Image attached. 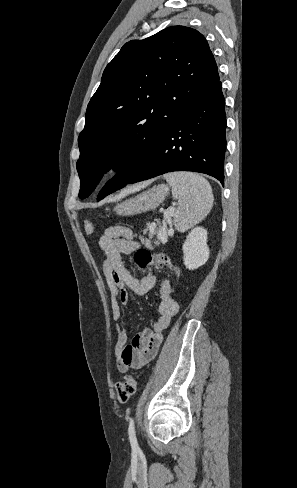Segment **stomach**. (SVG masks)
Segmentation results:
<instances>
[{
  "label": "stomach",
  "instance_id": "stomach-1",
  "mask_svg": "<svg viewBox=\"0 0 297 488\" xmlns=\"http://www.w3.org/2000/svg\"><path fill=\"white\" fill-rule=\"evenodd\" d=\"M169 194L165 184L153 186L145 192L116 204L113 211L119 216H133L157 208Z\"/></svg>",
  "mask_w": 297,
  "mask_h": 488
}]
</instances>
